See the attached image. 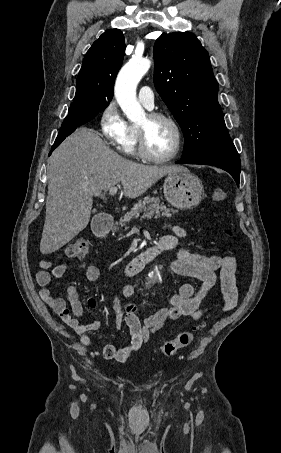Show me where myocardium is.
Segmentation results:
<instances>
[{
	"label": "myocardium",
	"mask_w": 281,
	"mask_h": 453,
	"mask_svg": "<svg viewBox=\"0 0 281 453\" xmlns=\"http://www.w3.org/2000/svg\"><path fill=\"white\" fill-rule=\"evenodd\" d=\"M148 123H154L157 121H165L168 123L175 133V141L172 147L171 152L165 156H158L154 154L148 145V138H147V131L146 128L143 126H138V152L141 156L151 160L153 162L164 163L171 161L176 157L180 150L181 142H182V131L178 123L175 119L171 116L153 112L146 115Z\"/></svg>",
	"instance_id": "f54148a6"
}]
</instances>
